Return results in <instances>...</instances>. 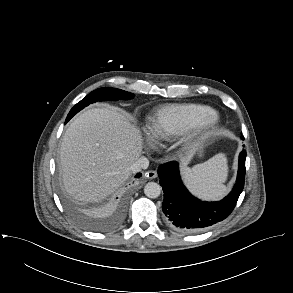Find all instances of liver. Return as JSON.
I'll return each instance as SVG.
<instances>
[{
  "label": "liver",
  "instance_id": "obj_1",
  "mask_svg": "<svg viewBox=\"0 0 293 293\" xmlns=\"http://www.w3.org/2000/svg\"><path fill=\"white\" fill-rule=\"evenodd\" d=\"M139 129L115 109L93 108L67 128L60 149L66 190L81 201H99L122 186L142 153ZM193 151L182 158L186 164Z\"/></svg>",
  "mask_w": 293,
  "mask_h": 293
}]
</instances>
